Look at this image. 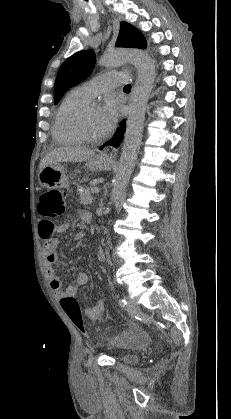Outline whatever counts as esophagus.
<instances>
[{
  "label": "esophagus",
  "instance_id": "34e87169",
  "mask_svg": "<svg viewBox=\"0 0 231 419\" xmlns=\"http://www.w3.org/2000/svg\"><path fill=\"white\" fill-rule=\"evenodd\" d=\"M129 70L130 71H133V67H129ZM118 155V149L117 148H113L111 151H110V153L108 154V155H106V157H108V158H114V157H116Z\"/></svg>",
  "mask_w": 231,
  "mask_h": 419
}]
</instances>
